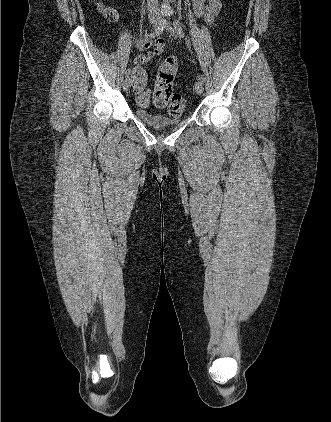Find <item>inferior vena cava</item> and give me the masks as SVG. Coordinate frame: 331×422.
<instances>
[{"instance_id":"1","label":"inferior vena cava","mask_w":331,"mask_h":422,"mask_svg":"<svg viewBox=\"0 0 331 422\" xmlns=\"http://www.w3.org/2000/svg\"><path fill=\"white\" fill-rule=\"evenodd\" d=\"M149 9L155 10L158 6V0H147Z\"/></svg>"}]
</instances>
